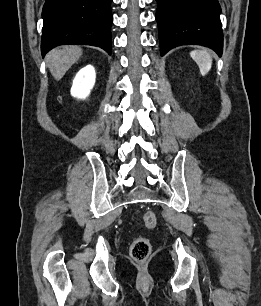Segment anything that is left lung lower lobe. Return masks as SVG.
<instances>
[{"label":"left lung lower lobe","mask_w":261,"mask_h":306,"mask_svg":"<svg viewBox=\"0 0 261 306\" xmlns=\"http://www.w3.org/2000/svg\"><path fill=\"white\" fill-rule=\"evenodd\" d=\"M161 56L188 44L207 46L219 56L223 33L218 0H156Z\"/></svg>","instance_id":"left-lung-lower-lobe-1"}]
</instances>
